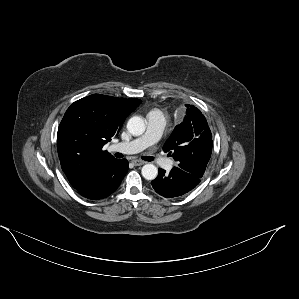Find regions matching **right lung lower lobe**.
Wrapping results in <instances>:
<instances>
[{
    "label": "right lung lower lobe",
    "instance_id": "obj_1",
    "mask_svg": "<svg viewBox=\"0 0 299 299\" xmlns=\"http://www.w3.org/2000/svg\"><path fill=\"white\" fill-rule=\"evenodd\" d=\"M128 171L126 159H114L98 169L89 183L77 191L88 199H102L112 194Z\"/></svg>",
    "mask_w": 299,
    "mask_h": 299
}]
</instances>
